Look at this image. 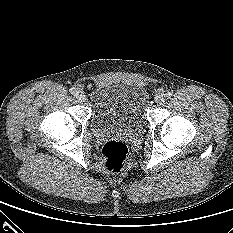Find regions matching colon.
<instances>
[{
	"mask_svg": "<svg viewBox=\"0 0 233 233\" xmlns=\"http://www.w3.org/2000/svg\"><path fill=\"white\" fill-rule=\"evenodd\" d=\"M100 160L104 171L110 174L119 173L127 165L128 148L123 142L109 141L102 147Z\"/></svg>",
	"mask_w": 233,
	"mask_h": 233,
	"instance_id": "5ec220e1",
	"label": "colon"
}]
</instances>
